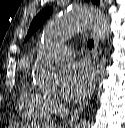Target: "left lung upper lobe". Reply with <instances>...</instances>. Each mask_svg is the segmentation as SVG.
I'll list each match as a JSON object with an SVG mask.
<instances>
[{"label": "left lung upper lobe", "instance_id": "obj_1", "mask_svg": "<svg viewBox=\"0 0 125 128\" xmlns=\"http://www.w3.org/2000/svg\"><path fill=\"white\" fill-rule=\"evenodd\" d=\"M89 2L90 0H85ZM95 4H99V0H91ZM53 8L52 7H47L44 8L40 13L33 19L30 28L28 30V34L25 38V41H27L30 36L39 28L42 26V24L45 22V20L50 16L52 13Z\"/></svg>", "mask_w": 125, "mask_h": 128}]
</instances>
